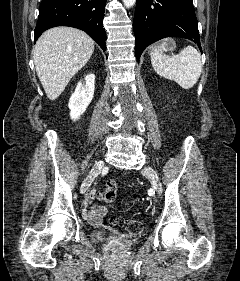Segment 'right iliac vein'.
Masks as SVG:
<instances>
[{
	"mask_svg": "<svg viewBox=\"0 0 240 281\" xmlns=\"http://www.w3.org/2000/svg\"><path fill=\"white\" fill-rule=\"evenodd\" d=\"M103 166H104L103 161H98L93 166L92 170L90 171V173L88 174V176L86 177V179L84 180V182L81 185V189H80L81 194H84L89 189V187L92 184L94 178L100 173Z\"/></svg>",
	"mask_w": 240,
	"mask_h": 281,
	"instance_id": "1",
	"label": "right iliac vein"
}]
</instances>
